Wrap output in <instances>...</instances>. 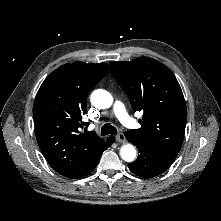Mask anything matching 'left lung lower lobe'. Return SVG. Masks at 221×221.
<instances>
[{"instance_id":"1","label":"left lung lower lobe","mask_w":221,"mask_h":221,"mask_svg":"<svg viewBox=\"0 0 221 221\" xmlns=\"http://www.w3.org/2000/svg\"><path fill=\"white\" fill-rule=\"evenodd\" d=\"M125 136L129 142L133 143L139 150V156L136 161L128 165L131 172L143 177L152 178L164 172L173 162L176 155L155 150L139 143L127 132Z\"/></svg>"}]
</instances>
